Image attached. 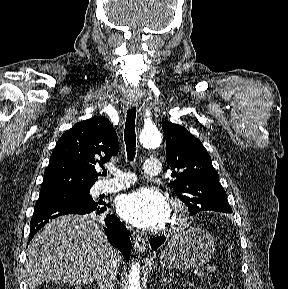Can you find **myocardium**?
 <instances>
[{
	"label": "myocardium",
	"mask_w": 288,
	"mask_h": 289,
	"mask_svg": "<svg viewBox=\"0 0 288 289\" xmlns=\"http://www.w3.org/2000/svg\"><path fill=\"white\" fill-rule=\"evenodd\" d=\"M189 208L187 204L179 199L171 202V219L169 229L171 232H179L189 225Z\"/></svg>",
	"instance_id": "f54148a6"
}]
</instances>
